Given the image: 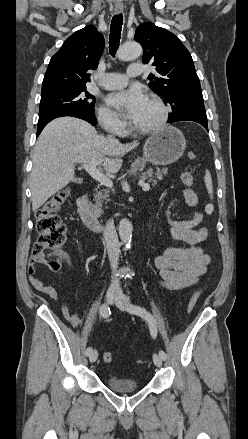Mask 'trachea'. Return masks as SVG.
Here are the masks:
<instances>
[{"label": "trachea", "instance_id": "trachea-1", "mask_svg": "<svg viewBox=\"0 0 248 439\" xmlns=\"http://www.w3.org/2000/svg\"><path fill=\"white\" fill-rule=\"evenodd\" d=\"M123 24L122 14L115 15L112 18L110 26L109 50L112 56L115 55L120 42L121 30Z\"/></svg>", "mask_w": 248, "mask_h": 439}]
</instances>
